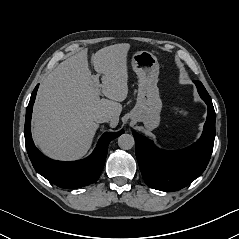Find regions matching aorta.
<instances>
[{
  "mask_svg": "<svg viewBox=\"0 0 239 239\" xmlns=\"http://www.w3.org/2000/svg\"><path fill=\"white\" fill-rule=\"evenodd\" d=\"M134 144V137L130 134L124 133L118 138V145L123 150H129L133 148Z\"/></svg>",
  "mask_w": 239,
  "mask_h": 239,
  "instance_id": "obj_1",
  "label": "aorta"
}]
</instances>
